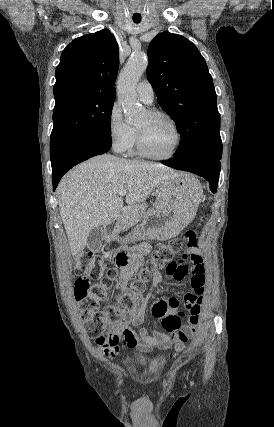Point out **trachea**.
Masks as SVG:
<instances>
[{"label": "trachea", "instance_id": "trachea-1", "mask_svg": "<svg viewBox=\"0 0 274 427\" xmlns=\"http://www.w3.org/2000/svg\"><path fill=\"white\" fill-rule=\"evenodd\" d=\"M134 23H140V21H135Z\"/></svg>", "mask_w": 274, "mask_h": 427}]
</instances>
